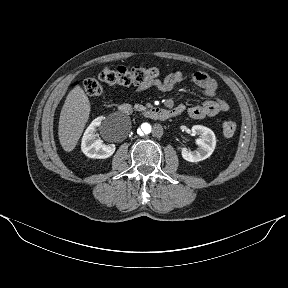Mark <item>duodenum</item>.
Wrapping results in <instances>:
<instances>
[{
  "instance_id": "duodenum-1",
  "label": "duodenum",
  "mask_w": 288,
  "mask_h": 288,
  "mask_svg": "<svg viewBox=\"0 0 288 288\" xmlns=\"http://www.w3.org/2000/svg\"><path fill=\"white\" fill-rule=\"evenodd\" d=\"M119 111L124 115H131L133 112L132 106L128 103H122L119 106ZM180 114V111L173 109H166L162 107H152L143 112V116L152 120L165 121L169 118Z\"/></svg>"
}]
</instances>
